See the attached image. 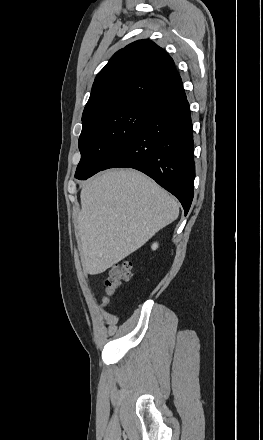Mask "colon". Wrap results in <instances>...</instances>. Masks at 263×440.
Instances as JSON below:
<instances>
[{
  "label": "colon",
  "mask_w": 263,
  "mask_h": 440,
  "mask_svg": "<svg viewBox=\"0 0 263 440\" xmlns=\"http://www.w3.org/2000/svg\"><path fill=\"white\" fill-rule=\"evenodd\" d=\"M131 279L130 265L128 262H121L110 267L105 286L108 296L116 289L128 283ZM108 296L104 297V303L108 302Z\"/></svg>",
  "instance_id": "colon-1"
}]
</instances>
